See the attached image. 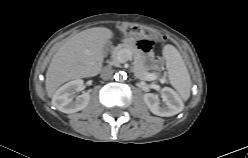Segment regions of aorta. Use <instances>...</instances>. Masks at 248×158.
Wrapping results in <instances>:
<instances>
[{
    "mask_svg": "<svg viewBox=\"0 0 248 158\" xmlns=\"http://www.w3.org/2000/svg\"><path fill=\"white\" fill-rule=\"evenodd\" d=\"M120 78L122 79V75H120ZM124 78V77H123ZM118 80H119V75H118Z\"/></svg>",
    "mask_w": 248,
    "mask_h": 158,
    "instance_id": "obj_1",
    "label": "aorta"
}]
</instances>
